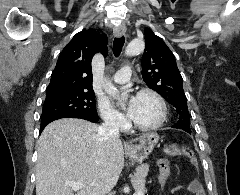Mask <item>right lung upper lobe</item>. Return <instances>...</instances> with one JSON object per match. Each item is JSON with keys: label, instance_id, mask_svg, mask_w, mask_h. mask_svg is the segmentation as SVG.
<instances>
[{"label": "right lung upper lobe", "instance_id": "cb5924a9", "mask_svg": "<svg viewBox=\"0 0 240 195\" xmlns=\"http://www.w3.org/2000/svg\"><path fill=\"white\" fill-rule=\"evenodd\" d=\"M98 52L107 55L105 35L93 29L74 35L58 57L47 95L72 90L93 91L91 61Z\"/></svg>", "mask_w": 240, "mask_h": 195}]
</instances>
